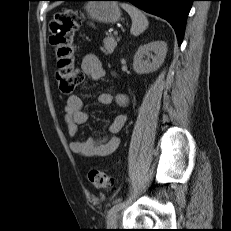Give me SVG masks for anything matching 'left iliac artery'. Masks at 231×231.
Returning a JSON list of instances; mask_svg holds the SVG:
<instances>
[{"label":"left iliac artery","instance_id":"1","mask_svg":"<svg viewBox=\"0 0 231 231\" xmlns=\"http://www.w3.org/2000/svg\"><path fill=\"white\" fill-rule=\"evenodd\" d=\"M127 202L128 201H124L114 205L108 212V218H110L111 215H113L115 212L119 211L122 207H124Z\"/></svg>","mask_w":231,"mask_h":231}]
</instances>
